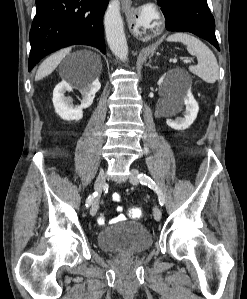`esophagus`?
I'll list each match as a JSON object with an SVG mask.
<instances>
[{"label":"esophagus","instance_id":"34e87169","mask_svg":"<svg viewBox=\"0 0 247 299\" xmlns=\"http://www.w3.org/2000/svg\"><path fill=\"white\" fill-rule=\"evenodd\" d=\"M121 2H122V5L126 8L129 7L131 4V0H121Z\"/></svg>","mask_w":247,"mask_h":299}]
</instances>
